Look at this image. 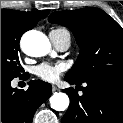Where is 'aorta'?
Instances as JSON below:
<instances>
[{"mask_svg": "<svg viewBox=\"0 0 123 123\" xmlns=\"http://www.w3.org/2000/svg\"><path fill=\"white\" fill-rule=\"evenodd\" d=\"M48 38L39 31H29L21 39V48L29 56L41 57L50 51ZM69 97L65 93L56 92L50 97L51 108L64 111L69 106Z\"/></svg>", "mask_w": 123, "mask_h": 123, "instance_id": "aorta-1", "label": "aorta"}]
</instances>
